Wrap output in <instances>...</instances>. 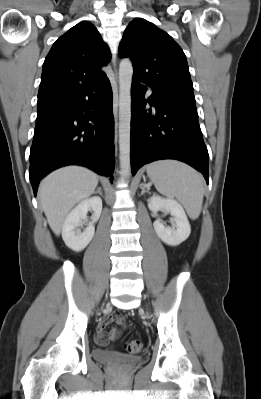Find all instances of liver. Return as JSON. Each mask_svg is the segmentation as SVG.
<instances>
[{
	"label": "liver",
	"mask_w": 261,
	"mask_h": 399,
	"mask_svg": "<svg viewBox=\"0 0 261 399\" xmlns=\"http://www.w3.org/2000/svg\"><path fill=\"white\" fill-rule=\"evenodd\" d=\"M98 184V175L79 166L58 169L39 185V199L52 231L58 236L70 210L89 197Z\"/></svg>",
	"instance_id": "obj_1"
}]
</instances>
